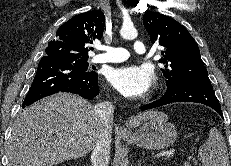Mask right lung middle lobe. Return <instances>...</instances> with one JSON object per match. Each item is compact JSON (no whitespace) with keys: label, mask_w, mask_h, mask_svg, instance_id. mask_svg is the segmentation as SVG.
Here are the masks:
<instances>
[{"label":"right lung middle lobe","mask_w":231,"mask_h":166,"mask_svg":"<svg viewBox=\"0 0 231 166\" xmlns=\"http://www.w3.org/2000/svg\"><path fill=\"white\" fill-rule=\"evenodd\" d=\"M62 61L68 62L82 71H87L88 69L87 59H63Z\"/></svg>","instance_id":"1"}]
</instances>
